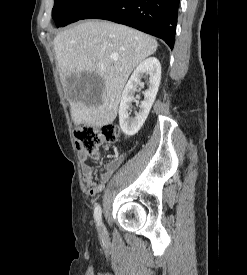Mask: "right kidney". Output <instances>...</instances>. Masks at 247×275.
Here are the masks:
<instances>
[{
	"label": "right kidney",
	"mask_w": 247,
	"mask_h": 275,
	"mask_svg": "<svg viewBox=\"0 0 247 275\" xmlns=\"http://www.w3.org/2000/svg\"><path fill=\"white\" fill-rule=\"evenodd\" d=\"M149 76L148 89L144 91V100L139 105V111L134 117H130L132 102L137 88L143 87V77ZM161 80V65L157 58L150 57L141 62L131 75L126 84L119 106V124L122 131L133 136L141 129L147 119L150 109L155 101Z\"/></svg>",
	"instance_id": "obj_1"
}]
</instances>
